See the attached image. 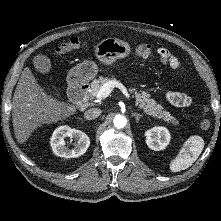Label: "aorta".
I'll return each mask as SVG.
<instances>
[{
  "label": "aorta",
  "mask_w": 221,
  "mask_h": 221,
  "mask_svg": "<svg viewBox=\"0 0 221 221\" xmlns=\"http://www.w3.org/2000/svg\"><path fill=\"white\" fill-rule=\"evenodd\" d=\"M114 126L118 129H121L126 126L127 120L123 115H116L113 120Z\"/></svg>",
  "instance_id": "1"
}]
</instances>
